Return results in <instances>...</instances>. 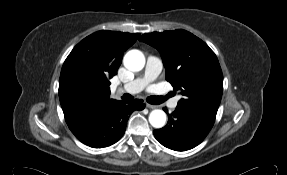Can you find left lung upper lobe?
<instances>
[{
	"label": "left lung upper lobe",
	"mask_w": 287,
	"mask_h": 175,
	"mask_svg": "<svg viewBox=\"0 0 287 175\" xmlns=\"http://www.w3.org/2000/svg\"><path fill=\"white\" fill-rule=\"evenodd\" d=\"M140 41L160 52L166 80L183 96L176 109L211 130L223 92V75L214 52L201 39L181 29L147 33Z\"/></svg>",
	"instance_id": "5c2ea615"
}]
</instances>
